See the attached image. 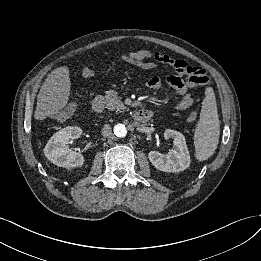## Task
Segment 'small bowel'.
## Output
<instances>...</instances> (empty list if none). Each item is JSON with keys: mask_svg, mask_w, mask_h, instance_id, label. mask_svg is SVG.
I'll use <instances>...</instances> for the list:
<instances>
[{"mask_svg": "<svg viewBox=\"0 0 261 261\" xmlns=\"http://www.w3.org/2000/svg\"><path fill=\"white\" fill-rule=\"evenodd\" d=\"M125 59L126 61L144 69H149L148 67H145L146 62H150L153 67L156 62L170 65L173 60L170 56L166 54L153 53L149 50L130 51L126 54ZM95 71L96 70L93 66H87L83 69L82 75L85 79H88L94 75ZM163 85H167L178 95L179 100L175 105L176 109L186 110L193 105L194 98L189 93V90L193 89L195 86L182 80L176 75L167 76L165 79H162L159 76L155 75L152 76L148 81V87L151 90H159L163 87Z\"/></svg>", "mask_w": 261, "mask_h": 261, "instance_id": "small-bowel-1", "label": "small bowel"}]
</instances>
